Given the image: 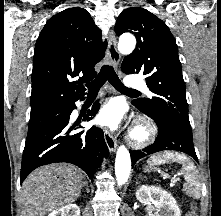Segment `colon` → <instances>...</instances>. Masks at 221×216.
<instances>
[{
  "mask_svg": "<svg viewBox=\"0 0 221 216\" xmlns=\"http://www.w3.org/2000/svg\"><path fill=\"white\" fill-rule=\"evenodd\" d=\"M188 216H196L194 212H190Z\"/></svg>",
  "mask_w": 221,
  "mask_h": 216,
  "instance_id": "1",
  "label": "colon"
}]
</instances>
